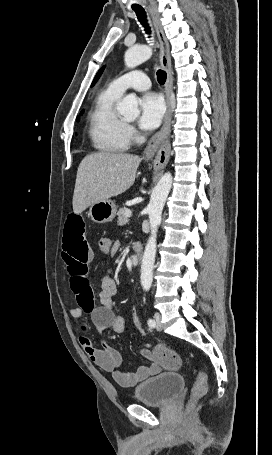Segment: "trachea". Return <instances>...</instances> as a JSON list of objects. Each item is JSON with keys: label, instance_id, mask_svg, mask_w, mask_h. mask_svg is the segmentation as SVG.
Returning a JSON list of instances; mask_svg holds the SVG:
<instances>
[{"label": "trachea", "instance_id": "obj_1", "mask_svg": "<svg viewBox=\"0 0 272 455\" xmlns=\"http://www.w3.org/2000/svg\"><path fill=\"white\" fill-rule=\"evenodd\" d=\"M133 10L135 11L138 21L143 25L146 33L148 35L151 34V28L147 22L146 12L142 7H134ZM167 78V74L164 70L159 69L157 71V80L160 84H164Z\"/></svg>", "mask_w": 272, "mask_h": 455}]
</instances>
